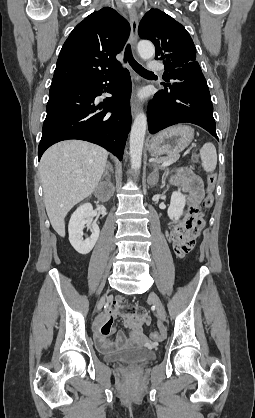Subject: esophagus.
Instances as JSON below:
<instances>
[{"instance_id": "obj_1", "label": "esophagus", "mask_w": 255, "mask_h": 418, "mask_svg": "<svg viewBox=\"0 0 255 418\" xmlns=\"http://www.w3.org/2000/svg\"><path fill=\"white\" fill-rule=\"evenodd\" d=\"M129 18H130V26H131V35H130V42L132 45L133 50L136 49V44H137V39H138V18L136 15L135 10H132L129 14ZM139 111V105L136 103V101L134 100V96L132 97V102H131V113L132 116L134 117Z\"/></svg>"}]
</instances>
